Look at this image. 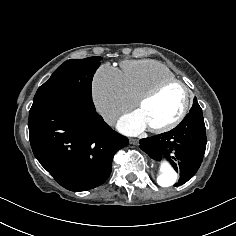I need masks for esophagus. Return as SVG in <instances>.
Returning <instances> with one entry per match:
<instances>
[{"label": "esophagus", "instance_id": "34e87169", "mask_svg": "<svg viewBox=\"0 0 236 236\" xmlns=\"http://www.w3.org/2000/svg\"><path fill=\"white\" fill-rule=\"evenodd\" d=\"M138 142H139V141H138V139H136V138H130V139H129V143L132 144V145H137Z\"/></svg>", "mask_w": 236, "mask_h": 236}]
</instances>
